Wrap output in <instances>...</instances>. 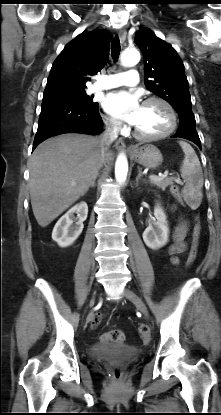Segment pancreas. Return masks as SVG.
<instances>
[{
	"instance_id": "1",
	"label": "pancreas",
	"mask_w": 221,
	"mask_h": 415,
	"mask_svg": "<svg viewBox=\"0 0 221 415\" xmlns=\"http://www.w3.org/2000/svg\"><path fill=\"white\" fill-rule=\"evenodd\" d=\"M150 183L152 185L157 186L158 188H161L162 190H165V188L168 185H172L173 184V181L171 179H169V178H159L157 180H150ZM171 192H172V194L174 196H177L178 190L177 189H171Z\"/></svg>"
}]
</instances>
